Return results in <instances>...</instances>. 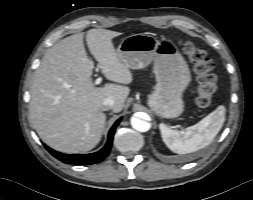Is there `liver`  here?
<instances>
[{
    "label": "liver",
    "mask_w": 253,
    "mask_h": 200,
    "mask_svg": "<svg viewBox=\"0 0 253 200\" xmlns=\"http://www.w3.org/2000/svg\"><path fill=\"white\" fill-rule=\"evenodd\" d=\"M119 32L90 29L86 42L104 76L118 84L95 87L93 63L88 59L83 34L68 36L49 48L35 71L29 104L35 130L51 148L63 153H84L100 141L106 115L103 101L112 98L120 112L133 80L117 57L112 39Z\"/></svg>",
    "instance_id": "1"
}]
</instances>
